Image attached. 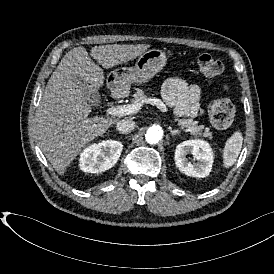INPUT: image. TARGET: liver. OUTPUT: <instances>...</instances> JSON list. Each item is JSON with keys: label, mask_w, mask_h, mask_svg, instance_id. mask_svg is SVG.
<instances>
[{"label": "liver", "mask_w": 274, "mask_h": 274, "mask_svg": "<svg viewBox=\"0 0 274 274\" xmlns=\"http://www.w3.org/2000/svg\"><path fill=\"white\" fill-rule=\"evenodd\" d=\"M150 45H102L90 56L103 68H111L142 55ZM87 50L75 47L61 60L40 99L36 133L40 148L57 173L63 175L82 148L104 133L118 119L94 116L86 95L103 86V70Z\"/></svg>", "instance_id": "liver-1"}]
</instances>
